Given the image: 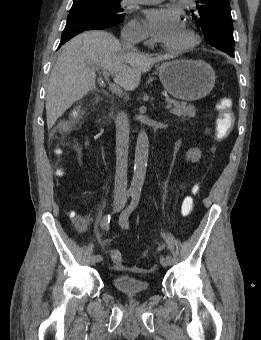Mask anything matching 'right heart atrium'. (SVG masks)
Returning a JSON list of instances; mask_svg holds the SVG:
<instances>
[{
	"instance_id": "obj_1",
	"label": "right heart atrium",
	"mask_w": 261,
	"mask_h": 340,
	"mask_svg": "<svg viewBox=\"0 0 261 340\" xmlns=\"http://www.w3.org/2000/svg\"><path fill=\"white\" fill-rule=\"evenodd\" d=\"M123 35L128 38H136L142 42L147 41V35L144 27L139 20H131L124 28Z\"/></svg>"
}]
</instances>
